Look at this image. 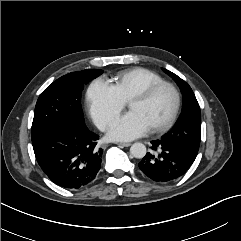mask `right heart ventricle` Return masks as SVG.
Masks as SVG:
<instances>
[{"label":"right heart ventricle","instance_id":"1","mask_svg":"<svg viewBox=\"0 0 241 241\" xmlns=\"http://www.w3.org/2000/svg\"><path fill=\"white\" fill-rule=\"evenodd\" d=\"M161 81L164 80L159 74L137 67L118 73L113 79V86L119 96L127 102L144 88Z\"/></svg>","mask_w":241,"mask_h":241}]
</instances>
